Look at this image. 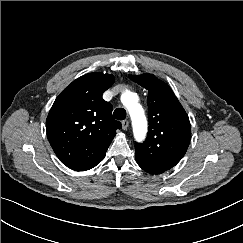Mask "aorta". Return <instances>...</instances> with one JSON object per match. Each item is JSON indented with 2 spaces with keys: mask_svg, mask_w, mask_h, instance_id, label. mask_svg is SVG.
<instances>
[{
  "mask_svg": "<svg viewBox=\"0 0 243 243\" xmlns=\"http://www.w3.org/2000/svg\"><path fill=\"white\" fill-rule=\"evenodd\" d=\"M121 100L132 118L135 138L141 141L146 135L147 121L142 107L138 104V97L135 93L125 92L122 94Z\"/></svg>",
  "mask_w": 243,
  "mask_h": 243,
  "instance_id": "obj_1",
  "label": "aorta"
}]
</instances>
